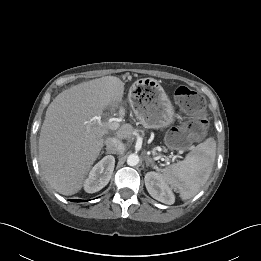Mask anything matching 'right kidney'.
<instances>
[{
    "label": "right kidney",
    "mask_w": 261,
    "mask_h": 261,
    "mask_svg": "<svg viewBox=\"0 0 261 261\" xmlns=\"http://www.w3.org/2000/svg\"><path fill=\"white\" fill-rule=\"evenodd\" d=\"M115 166V158L112 155L105 156L90 171L84 182V190L87 193H95L105 187L111 179Z\"/></svg>",
    "instance_id": "obj_1"
}]
</instances>
